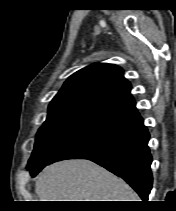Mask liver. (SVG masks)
I'll return each instance as SVG.
<instances>
[{"instance_id":"1","label":"liver","mask_w":176,"mask_h":211,"mask_svg":"<svg viewBox=\"0 0 176 211\" xmlns=\"http://www.w3.org/2000/svg\"><path fill=\"white\" fill-rule=\"evenodd\" d=\"M40 201H139L124 182L89 160H67L46 167L35 183Z\"/></svg>"}]
</instances>
